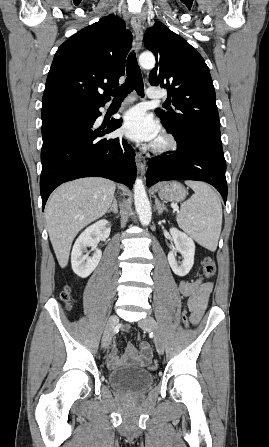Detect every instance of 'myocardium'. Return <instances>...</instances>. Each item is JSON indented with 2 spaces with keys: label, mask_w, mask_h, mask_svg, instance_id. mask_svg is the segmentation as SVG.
Segmentation results:
<instances>
[{
  "label": "myocardium",
  "mask_w": 269,
  "mask_h": 447,
  "mask_svg": "<svg viewBox=\"0 0 269 447\" xmlns=\"http://www.w3.org/2000/svg\"><path fill=\"white\" fill-rule=\"evenodd\" d=\"M160 136L163 139L161 145L157 146L154 143L151 144L150 150L153 154L157 156H165L177 148V140L172 133L163 131Z\"/></svg>",
  "instance_id": "1"
}]
</instances>
